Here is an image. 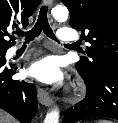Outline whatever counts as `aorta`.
<instances>
[{"instance_id":"aorta-1","label":"aorta","mask_w":118,"mask_h":123,"mask_svg":"<svg viewBox=\"0 0 118 123\" xmlns=\"http://www.w3.org/2000/svg\"><path fill=\"white\" fill-rule=\"evenodd\" d=\"M51 12L53 17L59 22H64L68 19L69 12L65 6H55ZM59 113V109L54 107L47 113L44 123H59Z\"/></svg>"}]
</instances>
